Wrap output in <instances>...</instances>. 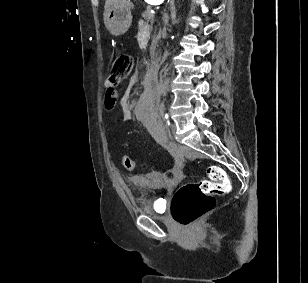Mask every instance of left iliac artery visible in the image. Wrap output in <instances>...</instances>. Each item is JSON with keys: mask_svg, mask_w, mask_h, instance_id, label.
I'll use <instances>...</instances> for the list:
<instances>
[{"mask_svg": "<svg viewBox=\"0 0 308 283\" xmlns=\"http://www.w3.org/2000/svg\"><path fill=\"white\" fill-rule=\"evenodd\" d=\"M164 121H165V123H166V125H167V126H169V125H170V122H169V117H168V115H167V114L164 116Z\"/></svg>", "mask_w": 308, "mask_h": 283, "instance_id": "obj_1", "label": "left iliac artery"}]
</instances>
